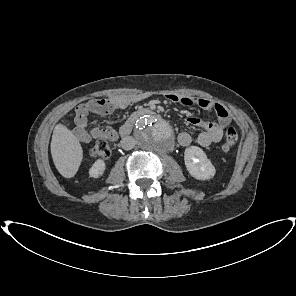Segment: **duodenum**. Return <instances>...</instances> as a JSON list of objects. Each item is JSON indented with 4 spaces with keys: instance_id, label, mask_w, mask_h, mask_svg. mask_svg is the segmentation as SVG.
Returning <instances> with one entry per match:
<instances>
[{
    "instance_id": "1",
    "label": "duodenum",
    "mask_w": 296,
    "mask_h": 296,
    "mask_svg": "<svg viewBox=\"0 0 296 296\" xmlns=\"http://www.w3.org/2000/svg\"><path fill=\"white\" fill-rule=\"evenodd\" d=\"M154 112L149 108H142L135 111L128 120L121 126L120 135L122 138H126L131 133L136 121L146 115H152Z\"/></svg>"
}]
</instances>
